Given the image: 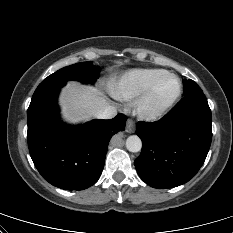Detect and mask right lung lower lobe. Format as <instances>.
<instances>
[{
  "label": "right lung lower lobe",
  "mask_w": 233,
  "mask_h": 233,
  "mask_svg": "<svg viewBox=\"0 0 233 233\" xmlns=\"http://www.w3.org/2000/svg\"><path fill=\"white\" fill-rule=\"evenodd\" d=\"M60 89L32 98L27 111L28 147L42 177L65 190H83L97 182L111 137L125 129L127 117L92 120L79 126L61 122Z\"/></svg>",
  "instance_id": "obj_1"
}]
</instances>
